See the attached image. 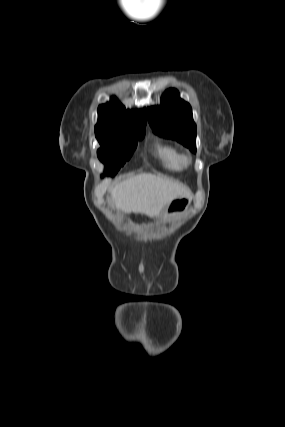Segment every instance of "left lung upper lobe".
Here are the masks:
<instances>
[{
	"instance_id": "obj_1",
	"label": "left lung upper lobe",
	"mask_w": 285,
	"mask_h": 427,
	"mask_svg": "<svg viewBox=\"0 0 285 427\" xmlns=\"http://www.w3.org/2000/svg\"><path fill=\"white\" fill-rule=\"evenodd\" d=\"M148 118L155 133L175 139L196 152V124L192 109L180 99L176 89H168L161 98L160 106L148 109Z\"/></svg>"
}]
</instances>
